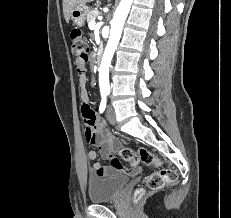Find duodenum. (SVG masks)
I'll return each mask as SVG.
<instances>
[{
  "label": "duodenum",
  "instance_id": "duodenum-1",
  "mask_svg": "<svg viewBox=\"0 0 231 218\" xmlns=\"http://www.w3.org/2000/svg\"><path fill=\"white\" fill-rule=\"evenodd\" d=\"M101 60H102V50L99 49V50L96 52L95 58H94V61H95L96 65H99L100 62H101Z\"/></svg>",
  "mask_w": 231,
  "mask_h": 218
}]
</instances>
